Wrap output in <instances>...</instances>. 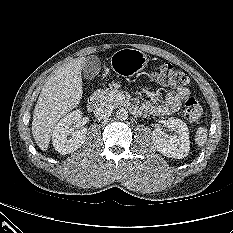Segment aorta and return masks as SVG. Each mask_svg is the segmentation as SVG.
<instances>
[{
  "label": "aorta",
  "instance_id": "aorta-1",
  "mask_svg": "<svg viewBox=\"0 0 233 233\" xmlns=\"http://www.w3.org/2000/svg\"><path fill=\"white\" fill-rule=\"evenodd\" d=\"M116 117L119 120H126L128 118V111L125 108H120L116 112Z\"/></svg>",
  "mask_w": 233,
  "mask_h": 233
}]
</instances>
